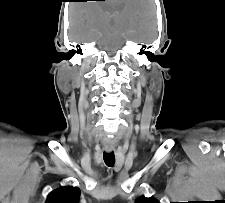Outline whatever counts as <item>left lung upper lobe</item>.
Here are the masks:
<instances>
[{
  "label": "left lung upper lobe",
  "mask_w": 225,
  "mask_h": 203,
  "mask_svg": "<svg viewBox=\"0 0 225 203\" xmlns=\"http://www.w3.org/2000/svg\"><path fill=\"white\" fill-rule=\"evenodd\" d=\"M136 203H159L154 198H146L145 196H141L136 200Z\"/></svg>",
  "instance_id": "5c2ea615"
}]
</instances>
